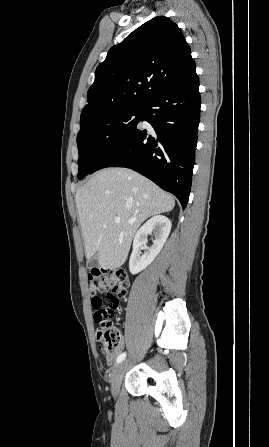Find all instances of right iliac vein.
Returning <instances> with one entry per match:
<instances>
[{"label":"right iliac vein","mask_w":269,"mask_h":447,"mask_svg":"<svg viewBox=\"0 0 269 447\" xmlns=\"http://www.w3.org/2000/svg\"><path fill=\"white\" fill-rule=\"evenodd\" d=\"M125 362L118 364L113 370L111 381V392L114 398L118 395L119 387L125 373Z\"/></svg>","instance_id":"right-iliac-vein-1"}]
</instances>
